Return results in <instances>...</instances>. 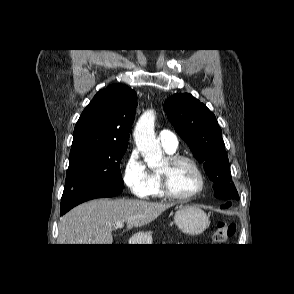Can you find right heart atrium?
Returning a JSON list of instances; mask_svg holds the SVG:
<instances>
[{
    "mask_svg": "<svg viewBox=\"0 0 294 294\" xmlns=\"http://www.w3.org/2000/svg\"><path fill=\"white\" fill-rule=\"evenodd\" d=\"M122 179L125 186L137 198H147L153 183V174L143 160L137 149H132L122 161Z\"/></svg>",
    "mask_w": 294,
    "mask_h": 294,
    "instance_id": "obj_1",
    "label": "right heart atrium"
}]
</instances>
